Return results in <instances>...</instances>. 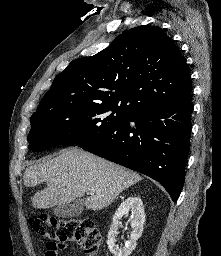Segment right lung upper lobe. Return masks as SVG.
I'll return each instance as SVG.
<instances>
[{
    "mask_svg": "<svg viewBox=\"0 0 221 256\" xmlns=\"http://www.w3.org/2000/svg\"><path fill=\"white\" fill-rule=\"evenodd\" d=\"M191 91L179 48L161 28L142 25L101 52L73 60L34 114L79 104H114L135 114L154 104L181 101Z\"/></svg>",
    "mask_w": 221,
    "mask_h": 256,
    "instance_id": "cb5924a9",
    "label": "right lung upper lobe"
}]
</instances>
